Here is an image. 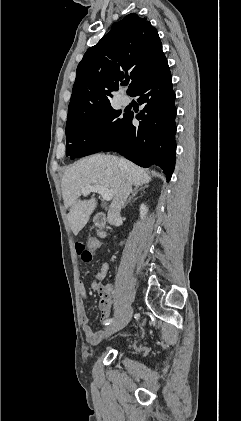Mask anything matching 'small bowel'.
<instances>
[{
    "label": "small bowel",
    "mask_w": 241,
    "mask_h": 421,
    "mask_svg": "<svg viewBox=\"0 0 241 421\" xmlns=\"http://www.w3.org/2000/svg\"><path fill=\"white\" fill-rule=\"evenodd\" d=\"M108 270H109V264L107 262H104L101 265L97 274L95 275V279L91 283L92 290L98 293V295L100 296L98 308L100 311L102 323L105 320H107L110 314L112 294L114 290V287L112 284H105L102 282L103 279L106 277ZM79 294L83 300L87 298L86 288L82 281L79 283ZM82 322H83V332H84V336L87 342L91 344H96L102 340V338L105 335V332L103 330H100V331L93 330V328L90 325L89 316L85 311H83L82 313Z\"/></svg>",
    "instance_id": "small-bowel-1"
}]
</instances>
